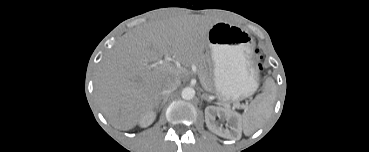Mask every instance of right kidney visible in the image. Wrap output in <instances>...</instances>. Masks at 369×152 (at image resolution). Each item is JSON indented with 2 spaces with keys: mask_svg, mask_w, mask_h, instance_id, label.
I'll return each instance as SVG.
<instances>
[{
  "mask_svg": "<svg viewBox=\"0 0 369 152\" xmlns=\"http://www.w3.org/2000/svg\"><path fill=\"white\" fill-rule=\"evenodd\" d=\"M155 119H156V112L155 111L146 113L140 119L139 126L142 127V128H146V127L150 126L154 122Z\"/></svg>",
  "mask_w": 369,
  "mask_h": 152,
  "instance_id": "right-kidney-1",
  "label": "right kidney"
}]
</instances>
